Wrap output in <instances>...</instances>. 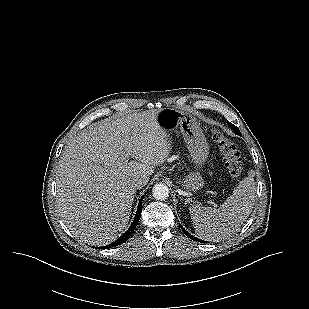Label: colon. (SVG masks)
<instances>
[{
    "label": "colon",
    "instance_id": "5ec220e1",
    "mask_svg": "<svg viewBox=\"0 0 309 309\" xmlns=\"http://www.w3.org/2000/svg\"><path fill=\"white\" fill-rule=\"evenodd\" d=\"M212 138L223 155L229 175L233 179L239 178L242 173L243 166L240 154L235 144L218 130L213 131Z\"/></svg>",
    "mask_w": 309,
    "mask_h": 309
}]
</instances>
